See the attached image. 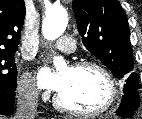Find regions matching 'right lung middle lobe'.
<instances>
[{
	"label": "right lung middle lobe",
	"instance_id": "dd1d6c3e",
	"mask_svg": "<svg viewBox=\"0 0 142 119\" xmlns=\"http://www.w3.org/2000/svg\"><path fill=\"white\" fill-rule=\"evenodd\" d=\"M13 51L0 50V91L14 92L17 87V68Z\"/></svg>",
	"mask_w": 142,
	"mask_h": 119
}]
</instances>
